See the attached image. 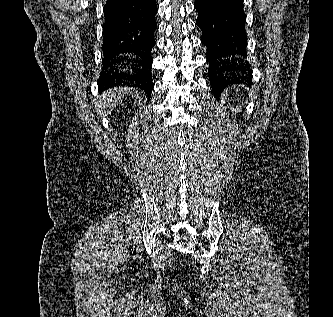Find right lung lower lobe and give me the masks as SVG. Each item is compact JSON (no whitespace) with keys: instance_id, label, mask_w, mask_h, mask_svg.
I'll return each mask as SVG.
<instances>
[{"instance_id":"obj_1","label":"right lung lower lobe","mask_w":333,"mask_h":317,"mask_svg":"<svg viewBox=\"0 0 333 317\" xmlns=\"http://www.w3.org/2000/svg\"><path fill=\"white\" fill-rule=\"evenodd\" d=\"M156 13V0H107L104 6V58L98 79L99 91L118 86L126 80L131 82L128 86L140 88L150 98L153 89L151 50L155 46ZM122 53L138 56L134 62L139 69L135 73H116V65L124 64L118 59Z\"/></svg>"}]
</instances>
